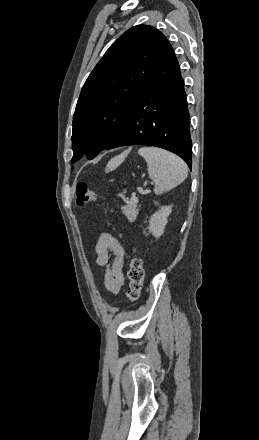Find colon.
I'll list each match as a JSON object with an SVG mask.
<instances>
[{
    "label": "colon",
    "mask_w": 259,
    "mask_h": 440,
    "mask_svg": "<svg viewBox=\"0 0 259 440\" xmlns=\"http://www.w3.org/2000/svg\"><path fill=\"white\" fill-rule=\"evenodd\" d=\"M75 197L78 206L99 201L96 192L91 190L86 183L77 184L75 188ZM144 276L145 272L142 260L137 256L132 257L128 270L129 290L127 295L130 301H136L139 298L144 282Z\"/></svg>",
    "instance_id": "obj_1"
}]
</instances>
